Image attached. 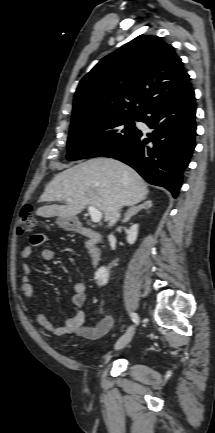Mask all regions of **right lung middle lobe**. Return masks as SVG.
<instances>
[{
	"instance_id": "obj_1",
	"label": "right lung middle lobe",
	"mask_w": 215,
	"mask_h": 433,
	"mask_svg": "<svg viewBox=\"0 0 215 433\" xmlns=\"http://www.w3.org/2000/svg\"><path fill=\"white\" fill-rule=\"evenodd\" d=\"M141 116H123L89 124L71 125L67 142L68 160L104 156L123 146L139 132Z\"/></svg>"
}]
</instances>
